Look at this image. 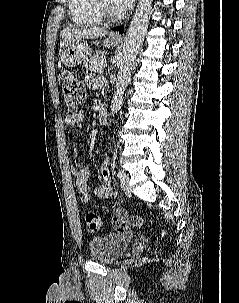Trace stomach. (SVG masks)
<instances>
[{"instance_id":"0dacf381","label":"stomach","mask_w":239,"mask_h":303,"mask_svg":"<svg viewBox=\"0 0 239 303\" xmlns=\"http://www.w3.org/2000/svg\"><path fill=\"white\" fill-rule=\"evenodd\" d=\"M117 44L118 41L111 37H108L103 41V46L106 48L114 47ZM90 53L91 49L88 43L80 39L73 41L68 46L62 48L60 53V60L65 66L73 67L76 64H79L85 55Z\"/></svg>"}]
</instances>
